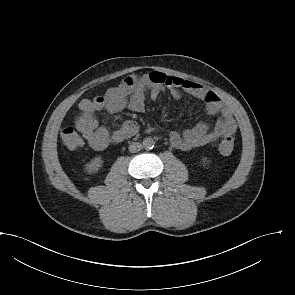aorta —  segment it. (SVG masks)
Masks as SVG:
<instances>
[{
  "instance_id": "obj_1",
  "label": "aorta",
  "mask_w": 295,
  "mask_h": 295,
  "mask_svg": "<svg viewBox=\"0 0 295 295\" xmlns=\"http://www.w3.org/2000/svg\"><path fill=\"white\" fill-rule=\"evenodd\" d=\"M154 144H155L154 140L150 137L145 138L143 140V147L147 150L152 149L154 147Z\"/></svg>"
}]
</instances>
